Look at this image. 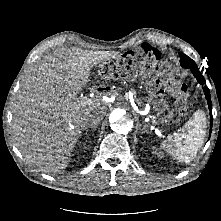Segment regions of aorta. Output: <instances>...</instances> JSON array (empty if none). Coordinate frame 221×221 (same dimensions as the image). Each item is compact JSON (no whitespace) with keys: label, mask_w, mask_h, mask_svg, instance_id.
Returning a JSON list of instances; mask_svg holds the SVG:
<instances>
[{"label":"aorta","mask_w":221,"mask_h":221,"mask_svg":"<svg viewBox=\"0 0 221 221\" xmlns=\"http://www.w3.org/2000/svg\"><path fill=\"white\" fill-rule=\"evenodd\" d=\"M111 129L120 135L128 134L135 126V120L133 116L124 109L114 110L110 117Z\"/></svg>","instance_id":"obj_1"}]
</instances>
